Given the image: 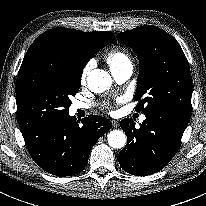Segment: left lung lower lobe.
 Returning <instances> with one entry per match:
<instances>
[{
  "mask_svg": "<svg viewBox=\"0 0 206 206\" xmlns=\"http://www.w3.org/2000/svg\"><path fill=\"white\" fill-rule=\"evenodd\" d=\"M145 116L139 128L133 119L120 122L127 144L118 161L123 170L136 176L156 173L170 162L190 120V116L165 111H151Z\"/></svg>",
  "mask_w": 206,
  "mask_h": 206,
  "instance_id": "1",
  "label": "left lung lower lobe"
}]
</instances>
